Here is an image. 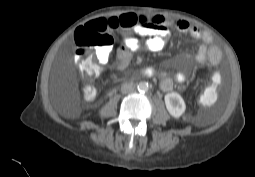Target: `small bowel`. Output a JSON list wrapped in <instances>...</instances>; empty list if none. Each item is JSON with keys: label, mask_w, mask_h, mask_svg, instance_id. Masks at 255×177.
<instances>
[{"label": "small bowel", "mask_w": 255, "mask_h": 177, "mask_svg": "<svg viewBox=\"0 0 255 177\" xmlns=\"http://www.w3.org/2000/svg\"><path fill=\"white\" fill-rule=\"evenodd\" d=\"M85 25L82 29H85ZM169 27L190 34L193 38L200 40L201 44L197 48L194 58L200 63L209 62L216 65L222 56L221 50L213 46L211 35L199 28L198 26L190 24L188 21L178 18H166L163 15L150 16L147 22L143 25L136 26L133 31L134 34L127 35L123 44L116 51V63L119 69H125L135 52L144 48L149 51H162L167 44L170 36ZM139 37L145 38L144 43ZM111 54V47L101 48L96 53V59L101 65H105ZM142 75L147 77L162 76L160 87L163 91H170L174 88V81L181 84L187 80V76L182 72H176L173 78L167 73L159 71L156 68L148 67L141 71Z\"/></svg>", "instance_id": "small-bowel-1"}]
</instances>
